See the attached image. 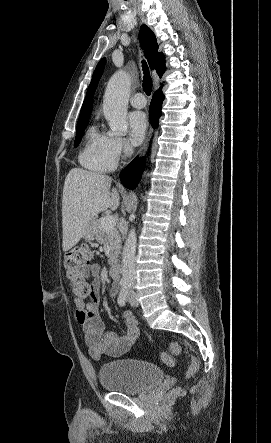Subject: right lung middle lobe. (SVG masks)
Returning a JSON list of instances; mask_svg holds the SVG:
<instances>
[{"mask_svg":"<svg viewBox=\"0 0 271 443\" xmlns=\"http://www.w3.org/2000/svg\"><path fill=\"white\" fill-rule=\"evenodd\" d=\"M88 121L89 117L78 120L74 147H77L79 145Z\"/></svg>","mask_w":271,"mask_h":443,"instance_id":"1","label":"right lung middle lobe"}]
</instances>
